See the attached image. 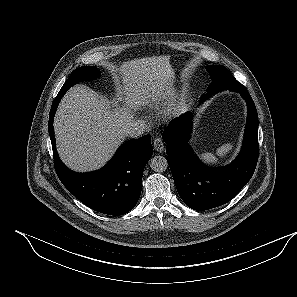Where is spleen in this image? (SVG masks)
Listing matches in <instances>:
<instances>
[{"label":"spleen","mask_w":297,"mask_h":297,"mask_svg":"<svg viewBox=\"0 0 297 297\" xmlns=\"http://www.w3.org/2000/svg\"><path fill=\"white\" fill-rule=\"evenodd\" d=\"M232 149V145L230 143L224 144L216 150V154L220 157L224 156L227 152ZM201 159L207 163H217L218 158L212 153H203L200 155Z\"/></svg>","instance_id":"spleen-1"}]
</instances>
